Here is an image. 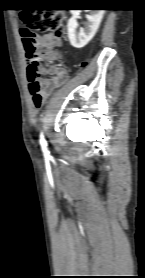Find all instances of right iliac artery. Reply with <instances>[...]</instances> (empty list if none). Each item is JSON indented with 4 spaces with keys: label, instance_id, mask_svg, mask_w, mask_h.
Here are the masks:
<instances>
[{
    "label": "right iliac artery",
    "instance_id": "82829eb1",
    "mask_svg": "<svg viewBox=\"0 0 145 278\" xmlns=\"http://www.w3.org/2000/svg\"><path fill=\"white\" fill-rule=\"evenodd\" d=\"M40 144H41V148H42V151L44 152V154H48L49 151L47 148V142L42 133L40 134Z\"/></svg>",
    "mask_w": 145,
    "mask_h": 278
}]
</instances>
